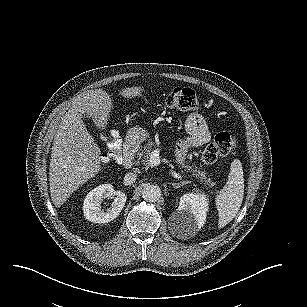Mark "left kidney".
<instances>
[{"mask_svg": "<svg viewBox=\"0 0 307 307\" xmlns=\"http://www.w3.org/2000/svg\"><path fill=\"white\" fill-rule=\"evenodd\" d=\"M209 199L205 193H186L180 198L179 206L173 213L174 232L185 237L194 236L205 224Z\"/></svg>", "mask_w": 307, "mask_h": 307, "instance_id": "left-kidney-1", "label": "left kidney"}]
</instances>
